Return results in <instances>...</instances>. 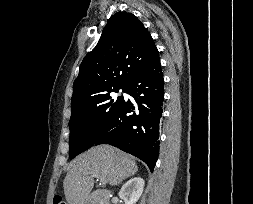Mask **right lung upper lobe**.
Wrapping results in <instances>:
<instances>
[{
  "mask_svg": "<svg viewBox=\"0 0 253 204\" xmlns=\"http://www.w3.org/2000/svg\"><path fill=\"white\" fill-rule=\"evenodd\" d=\"M154 41L132 13L114 14L96 47L83 59L74 81L71 107L110 90L124 88L156 50Z\"/></svg>",
  "mask_w": 253,
  "mask_h": 204,
  "instance_id": "cb5924a9",
  "label": "right lung upper lobe"
}]
</instances>
